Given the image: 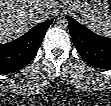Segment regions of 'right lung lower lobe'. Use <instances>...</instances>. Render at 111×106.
I'll use <instances>...</instances> for the list:
<instances>
[{"label": "right lung lower lobe", "mask_w": 111, "mask_h": 106, "mask_svg": "<svg viewBox=\"0 0 111 106\" xmlns=\"http://www.w3.org/2000/svg\"><path fill=\"white\" fill-rule=\"evenodd\" d=\"M52 21L40 23L20 38L0 45V73L14 72L28 65L35 57Z\"/></svg>", "instance_id": "1"}]
</instances>
